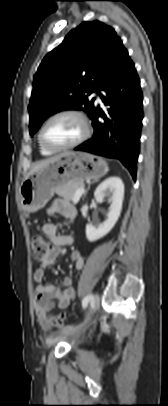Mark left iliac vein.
I'll list each match as a JSON object with an SVG mask.
<instances>
[{"label": "left iliac vein", "mask_w": 168, "mask_h": 406, "mask_svg": "<svg viewBox=\"0 0 168 406\" xmlns=\"http://www.w3.org/2000/svg\"><path fill=\"white\" fill-rule=\"evenodd\" d=\"M99 306H100V296L98 294H96L91 299L90 312H89L87 319L78 327L60 332L57 335V340H60L69 335L77 334L79 331H81L85 327V325L88 323L90 318L94 315V313L98 310Z\"/></svg>", "instance_id": "left-iliac-vein-1"}]
</instances>
